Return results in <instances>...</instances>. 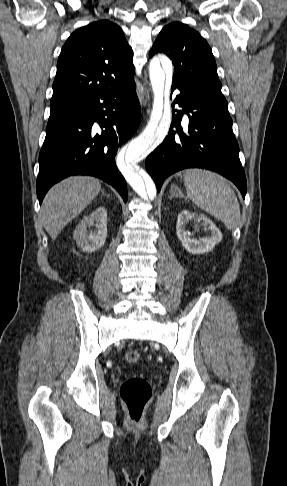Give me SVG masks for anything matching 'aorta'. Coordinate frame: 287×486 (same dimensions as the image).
Instances as JSON below:
<instances>
[{
  "label": "aorta",
  "instance_id": "762f6f07",
  "mask_svg": "<svg viewBox=\"0 0 287 486\" xmlns=\"http://www.w3.org/2000/svg\"><path fill=\"white\" fill-rule=\"evenodd\" d=\"M165 75L167 84L170 86L173 75L171 60L166 56L152 58L149 65V76L154 94L151 117L142 133L129 144L126 151L128 162L119 164L121 173L133 190L142 198L151 200L156 197L155 184L151 179H143L132 159L160 144L168 134L172 114L168 94L164 96Z\"/></svg>",
  "mask_w": 287,
  "mask_h": 486
}]
</instances>
